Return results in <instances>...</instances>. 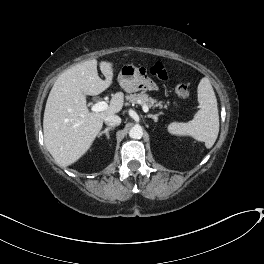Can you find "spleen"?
<instances>
[{
  "label": "spleen",
  "mask_w": 264,
  "mask_h": 264,
  "mask_svg": "<svg viewBox=\"0 0 264 264\" xmlns=\"http://www.w3.org/2000/svg\"><path fill=\"white\" fill-rule=\"evenodd\" d=\"M198 103L200 109L191 121L172 122L168 125V131L172 135L191 136L211 148L219 133V115L213 87L206 77L198 85Z\"/></svg>",
  "instance_id": "spleen-1"
}]
</instances>
